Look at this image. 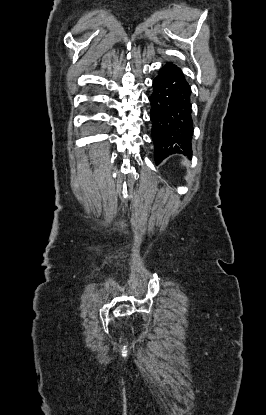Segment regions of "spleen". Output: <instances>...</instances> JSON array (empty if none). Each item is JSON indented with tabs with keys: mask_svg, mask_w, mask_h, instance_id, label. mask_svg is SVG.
Returning <instances> with one entry per match:
<instances>
[{
	"mask_svg": "<svg viewBox=\"0 0 266 415\" xmlns=\"http://www.w3.org/2000/svg\"><path fill=\"white\" fill-rule=\"evenodd\" d=\"M183 165H188V162L186 160H184Z\"/></svg>",
	"mask_w": 266,
	"mask_h": 415,
	"instance_id": "3e777b00",
	"label": "spleen"
}]
</instances>
